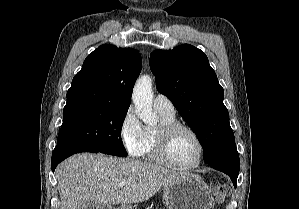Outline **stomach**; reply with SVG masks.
<instances>
[{
	"label": "stomach",
	"instance_id": "0dacf381",
	"mask_svg": "<svg viewBox=\"0 0 299 209\" xmlns=\"http://www.w3.org/2000/svg\"><path fill=\"white\" fill-rule=\"evenodd\" d=\"M162 200L167 209H211L213 203L208 185L193 174L164 187Z\"/></svg>",
	"mask_w": 299,
	"mask_h": 209
}]
</instances>
